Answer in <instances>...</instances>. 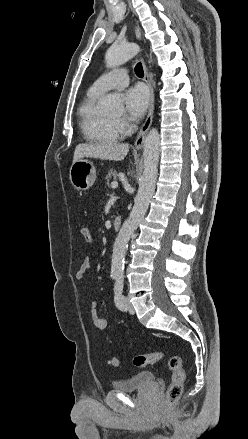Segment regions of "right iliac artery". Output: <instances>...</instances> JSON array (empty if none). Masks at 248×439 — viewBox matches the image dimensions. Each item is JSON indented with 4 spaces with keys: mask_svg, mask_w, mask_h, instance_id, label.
Returning <instances> with one entry per match:
<instances>
[{
    "mask_svg": "<svg viewBox=\"0 0 248 439\" xmlns=\"http://www.w3.org/2000/svg\"><path fill=\"white\" fill-rule=\"evenodd\" d=\"M112 278H113V279L116 278V275H112Z\"/></svg>",
    "mask_w": 248,
    "mask_h": 439,
    "instance_id": "1",
    "label": "right iliac artery"
}]
</instances>
